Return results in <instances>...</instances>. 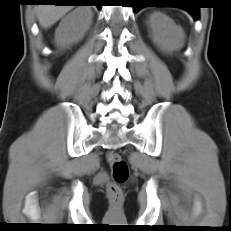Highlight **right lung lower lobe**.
<instances>
[{
	"instance_id": "obj_1",
	"label": "right lung lower lobe",
	"mask_w": 231,
	"mask_h": 231,
	"mask_svg": "<svg viewBox=\"0 0 231 231\" xmlns=\"http://www.w3.org/2000/svg\"><path fill=\"white\" fill-rule=\"evenodd\" d=\"M40 3H55V5H77L79 0H36ZM100 8V6H98Z\"/></svg>"
}]
</instances>
